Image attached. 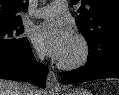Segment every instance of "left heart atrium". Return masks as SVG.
Wrapping results in <instances>:
<instances>
[{
  "label": "left heart atrium",
  "mask_w": 119,
  "mask_h": 95,
  "mask_svg": "<svg viewBox=\"0 0 119 95\" xmlns=\"http://www.w3.org/2000/svg\"><path fill=\"white\" fill-rule=\"evenodd\" d=\"M74 39L70 27L60 21L40 24L33 33L34 44L49 56L61 60Z\"/></svg>",
  "instance_id": "left-heart-atrium-1"
}]
</instances>
